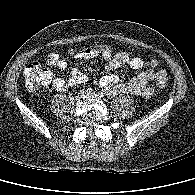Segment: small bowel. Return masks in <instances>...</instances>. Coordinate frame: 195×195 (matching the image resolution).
I'll list each match as a JSON object with an SVG mask.
<instances>
[{"label":"small bowel","instance_id":"small-bowel-1","mask_svg":"<svg viewBox=\"0 0 195 195\" xmlns=\"http://www.w3.org/2000/svg\"><path fill=\"white\" fill-rule=\"evenodd\" d=\"M55 55L57 56V59L54 66L58 67L60 70H65L67 68L66 62L59 59L57 54ZM97 56L102 57L105 62V67L108 70H114L123 65H127L132 69L148 67L147 70L138 72L125 82H120L118 76L115 74H105L101 76L100 84L110 95L129 93L143 97H150L153 95L154 90L151 87H148L147 83L149 81L157 80L162 74H166L164 70H157L158 61L156 59H151L149 62H145L140 57H133L129 51H120L116 54H112L109 50L98 51L96 49H84L75 54V58L85 60ZM49 82H52L55 88L64 90L69 87L87 83L88 76L79 69H73L72 76L68 81L55 76L50 78Z\"/></svg>","mask_w":195,"mask_h":195}]
</instances>
